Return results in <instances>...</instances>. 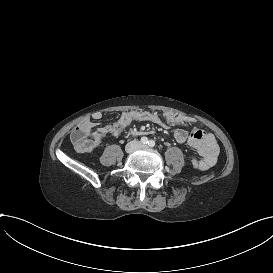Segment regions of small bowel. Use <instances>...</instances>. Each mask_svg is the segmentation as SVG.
Wrapping results in <instances>:
<instances>
[{"instance_id": "small-bowel-1", "label": "small bowel", "mask_w": 273, "mask_h": 273, "mask_svg": "<svg viewBox=\"0 0 273 273\" xmlns=\"http://www.w3.org/2000/svg\"><path fill=\"white\" fill-rule=\"evenodd\" d=\"M102 116L103 114L101 112L96 111L91 117L85 118L84 120L93 122L96 128L98 120H100ZM135 121H147L162 125L166 128H174V138L180 143H187L202 157L200 169L208 170L215 165L219 153V146L214 134L197 127L191 129L181 127L190 125L193 122L192 118L182 114L168 111L162 114L149 110L125 111L115 122L97 128L91 136L96 137L99 144L103 136L107 134L119 136L125 128Z\"/></svg>"}]
</instances>
